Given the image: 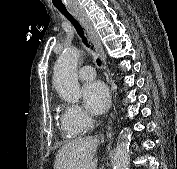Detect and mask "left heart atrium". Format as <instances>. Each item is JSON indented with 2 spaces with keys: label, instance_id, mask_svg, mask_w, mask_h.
I'll list each match as a JSON object with an SVG mask.
<instances>
[{
  "label": "left heart atrium",
  "instance_id": "1",
  "mask_svg": "<svg viewBox=\"0 0 177 169\" xmlns=\"http://www.w3.org/2000/svg\"><path fill=\"white\" fill-rule=\"evenodd\" d=\"M83 101L86 108L93 114H102L109 105L110 94L107 86L101 81L87 83L83 89Z\"/></svg>",
  "mask_w": 177,
  "mask_h": 169
}]
</instances>
